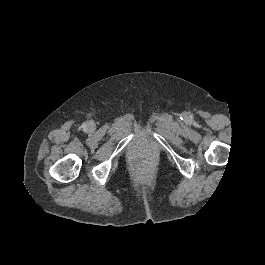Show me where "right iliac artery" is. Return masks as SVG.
Here are the masks:
<instances>
[{"instance_id": "obj_1", "label": "right iliac artery", "mask_w": 265, "mask_h": 265, "mask_svg": "<svg viewBox=\"0 0 265 265\" xmlns=\"http://www.w3.org/2000/svg\"><path fill=\"white\" fill-rule=\"evenodd\" d=\"M86 127V124H83V128H85Z\"/></svg>"}]
</instances>
